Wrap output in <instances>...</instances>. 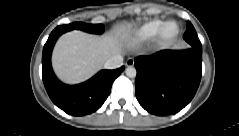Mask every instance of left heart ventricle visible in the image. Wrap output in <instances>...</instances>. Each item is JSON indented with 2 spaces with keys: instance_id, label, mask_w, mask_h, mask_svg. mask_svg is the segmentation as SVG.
Returning <instances> with one entry per match:
<instances>
[{
  "instance_id": "b2bd125f",
  "label": "left heart ventricle",
  "mask_w": 239,
  "mask_h": 136,
  "mask_svg": "<svg viewBox=\"0 0 239 136\" xmlns=\"http://www.w3.org/2000/svg\"><path fill=\"white\" fill-rule=\"evenodd\" d=\"M175 33H176V27H175V25H172L166 30L165 36L167 38H171L175 35Z\"/></svg>"
}]
</instances>
